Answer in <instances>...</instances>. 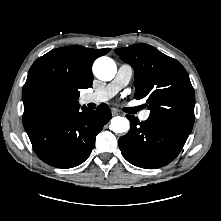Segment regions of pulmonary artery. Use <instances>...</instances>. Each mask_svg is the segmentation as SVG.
I'll use <instances>...</instances> for the list:
<instances>
[{
	"label": "pulmonary artery",
	"mask_w": 221,
	"mask_h": 221,
	"mask_svg": "<svg viewBox=\"0 0 221 221\" xmlns=\"http://www.w3.org/2000/svg\"><path fill=\"white\" fill-rule=\"evenodd\" d=\"M133 75V69L128 64H122L119 66L115 78L107 84L105 87L101 88L98 91H95L93 93L86 94L82 98V102L85 104L89 103H102L109 99H111L113 96H115L120 89L125 87L131 80V77ZM150 111H144L140 115V119L142 121H145L149 118Z\"/></svg>",
	"instance_id": "pulmonary-artery-1"
}]
</instances>
